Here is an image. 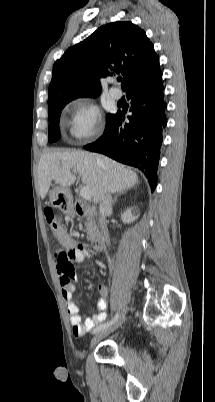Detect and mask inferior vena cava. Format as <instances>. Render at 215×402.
Segmentation results:
<instances>
[{"label": "inferior vena cava", "instance_id": "602c4592", "mask_svg": "<svg viewBox=\"0 0 215 402\" xmlns=\"http://www.w3.org/2000/svg\"><path fill=\"white\" fill-rule=\"evenodd\" d=\"M100 210V227L104 237L108 243V230L106 225V215L112 211V197L110 192H105L99 205Z\"/></svg>", "mask_w": 215, "mask_h": 402}]
</instances>
